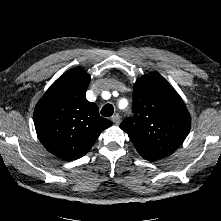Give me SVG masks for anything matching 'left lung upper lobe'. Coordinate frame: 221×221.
I'll use <instances>...</instances> for the list:
<instances>
[{
    "instance_id": "obj_1",
    "label": "left lung upper lobe",
    "mask_w": 221,
    "mask_h": 221,
    "mask_svg": "<svg viewBox=\"0 0 221 221\" xmlns=\"http://www.w3.org/2000/svg\"><path fill=\"white\" fill-rule=\"evenodd\" d=\"M132 109L134 116L125 119L120 128L135 147L153 156L171 155L188 135L190 114L178 93L158 73L135 82Z\"/></svg>"
}]
</instances>
